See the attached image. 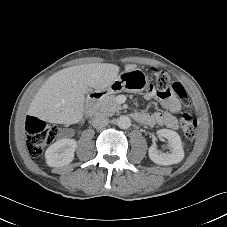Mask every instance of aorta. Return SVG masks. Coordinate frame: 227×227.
Listing matches in <instances>:
<instances>
[{
  "label": "aorta",
  "mask_w": 227,
  "mask_h": 227,
  "mask_svg": "<svg viewBox=\"0 0 227 227\" xmlns=\"http://www.w3.org/2000/svg\"><path fill=\"white\" fill-rule=\"evenodd\" d=\"M117 126L121 129H128L131 126V119L122 115L117 119Z\"/></svg>",
  "instance_id": "1"
}]
</instances>
